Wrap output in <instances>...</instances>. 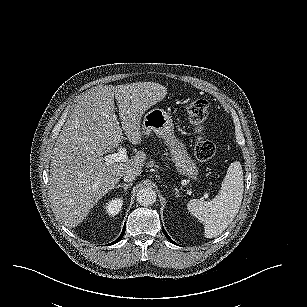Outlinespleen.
Masks as SVG:
<instances>
[{"label":"spleen","instance_id":"spleen-1","mask_svg":"<svg viewBox=\"0 0 307 307\" xmlns=\"http://www.w3.org/2000/svg\"><path fill=\"white\" fill-rule=\"evenodd\" d=\"M244 193V176L239 161L230 163L226 176L221 183L220 195L211 201L192 199L188 210L205 223V237L220 235L238 214Z\"/></svg>","mask_w":307,"mask_h":307}]
</instances>
